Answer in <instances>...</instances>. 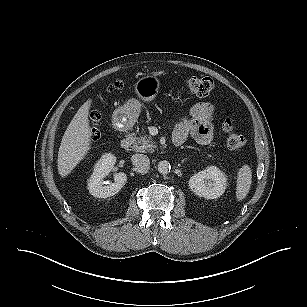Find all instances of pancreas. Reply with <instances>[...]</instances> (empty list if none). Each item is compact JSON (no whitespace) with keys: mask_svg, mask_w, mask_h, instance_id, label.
<instances>
[{"mask_svg":"<svg viewBox=\"0 0 307 307\" xmlns=\"http://www.w3.org/2000/svg\"><path fill=\"white\" fill-rule=\"evenodd\" d=\"M156 148L155 142L153 141L152 137L147 134H139L138 137L134 136V142L132 149L135 152H154Z\"/></svg>","mask_w":307,"mask_h":307,"instance_id":"cf45deb5","label":"pancreas"}]
</instances>
